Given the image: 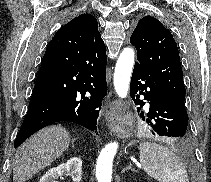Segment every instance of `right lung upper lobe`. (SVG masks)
<instances>
[{
  "label": "right lung upper lobe",
  "instance_id": "1",
  "mask_svg": "<svg viewBox=\"0 0 211 182\" xmlns=\"http://www.w3.org/2000/svg\"><path fill=\"white\" fill-rule=\"evenodd\" d=\"M101 38L97 20L89 15H80L64 25L54 36L55 41H95Z\"/></svg>",
  "mask_w": 211,
  "mask_h": 182
}]
</instances>
